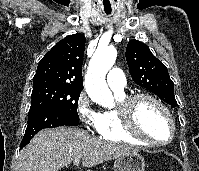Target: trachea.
Masks as SVG:
<instances>
[{
  "label": "trachea",
  "mask_w": 199,
  "mask_h": 171,
  "mask_svg": "<svg viewBox=\"0 0 199 171\" xmlns=\"http://www.w3.org/2000/svg\"><path fill=\"white\" fill-rule=\"evenodd\" d=\"M107 15L111 14V12H105Z\"/></svg>",
  "instance_id": "obj_1"
}]
</instances>
